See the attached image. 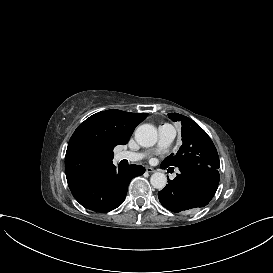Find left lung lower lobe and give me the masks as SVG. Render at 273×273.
Instances as JSON below:
<instances>
[{"mask_svg":"<svg viewBox=\"0 0 273 273\" xmlns=\"http://www.w3.org/2000/svg\"><path fill=\"white\" fill-rule=\"evenodd\" d=\"M161 167L167 168L163 164ZM179 170L181 174H177L174 180H168L165 188L158 192L160 203L175 213L206 206L219 184L218 169L188 165L179 167Z\"/></svg>","mask_w":273,"mask_h":273,"instance_id":"obj_1","label":"left lung lower lobe"}]
</instances>
